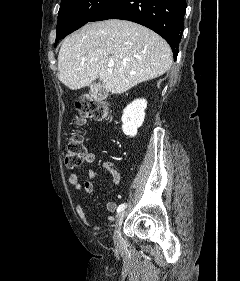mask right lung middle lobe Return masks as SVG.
Wrapping results in <instances>:
<instances>
[{
  "mask_svg": "<svg viewBox=\"0 0 240 281\" xmlns=\"http://www.w3.org/2000/svg\"><path fill=\"white\" fill-rule=\"evenodd\" d=\"M116 0H62L56 28L58 40L94 21Z\"/></svg>",
  "mask_w": 240,
  "mask_h": 281,
  "instance_id": "1",
  "label": "right lung middle lobe"
}]
</instances>
